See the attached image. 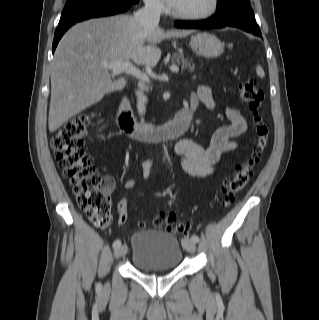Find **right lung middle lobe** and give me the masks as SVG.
<instances>
[{
    "instance_id": "dd1d6c3e",
    "label": "right lung middle lobe",
    "mask_w": 319,
    "mask_h": 320,
    "mask_svg": "<svg viewBox=\"0 0 319 320\" xmlns=\"http://www.w3.org/2000/svg\"><path fill=\"white\" fill-rule=\"evenodd\" d=\"M104 1L106 0H67L61 16H66L83 7ZM133 1L138 2L139 0Z\"/></svg>"
}]
</instances>
